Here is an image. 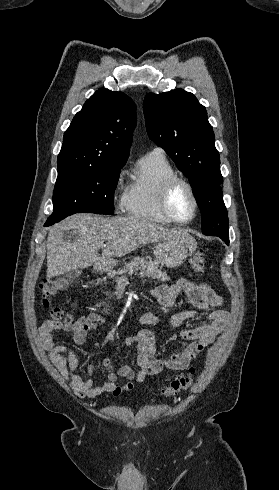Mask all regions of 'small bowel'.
<instances>
[{
  "label": "small bowel",
  "instance_id": "obj_1",
  "mask_svg": "<svg viewBox=\"0 0 279 490\" xmlns=\"http://www.w3.org/2000/svg\"><path fill=\"white\" fill-rule=\"evenodd\" d=\"M184 292L192 305L200 311H204L209 322L200 326L181 331V337L188 341L186 347L180 353H171L163 360L154 359L156 346L153 330L150 328L161 322L159 315L152 312H143L139 316V323L144 327L137 335L127 337L125 345H136L139 350L137 363L140 371L136 375L129 366H122L114 370L109 359L102 360V367L106 373L107 381L95 386L91 377L82 378L76 373L79 360L73 350L65 345L58 344L56 333H71L73 341L78 346L86 343L89 331L97 328L106 320L105 316L93 312L74 322L62 323L54 319L45 318L38 329L42 347L60 374L69 381L75 393L81 397L96 398L103 393L119 395L133 388L132 380L143 381L147 375L158 373L162 370H184L190 363L211 344L223 331L229 320V314L222 308L223 299L217 295L207 284L194 283L186 278H181L171 286H157L150 291L151 296L163 307H172L179 295ZM196 310H187L171 317L169 325L172 328L179 327L183 322L197 317ZM89 374H93L94 365L88 368ZM127 380L118 384V380Z\"/></svg>",
  "mask_w": 279,
  "mask_h": 490
}]
</instances>
